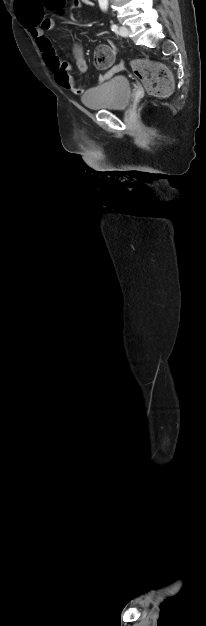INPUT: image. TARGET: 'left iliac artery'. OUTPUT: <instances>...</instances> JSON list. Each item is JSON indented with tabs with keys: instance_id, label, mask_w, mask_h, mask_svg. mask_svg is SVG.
I'll use <instances>...</instances> for the list:
<instances>
[{
	"instance_id": "1",
	"label": "left iliac artery",
	"mask_w": 206,
	"mask_h": 626,
	"mask_svg": "<svg viewBox=\"0 0 206 626\" xmlns=\"http://www.w3.org/2000/svg\"><path fill=\"white\" fill-rule=\"evenodd\" d=\"M111 30L114 31V32H117L118 26L116 24H112L111 25Z\"/></svg>"
}]
</instances>
